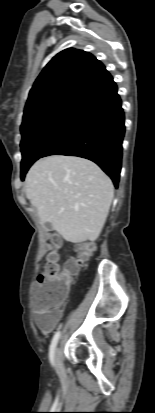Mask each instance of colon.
Here are the masks:
<instances>
[{"instance_id":"colon-1","label":"colon","mask_w":155,"mask_h":413,"mask_svg":"<svg viewBox=\"0 0 155 413\" xmlns=\"http://www.w3.org/2000/svg\"><path fill=\"white\" fill-rule=\"evenodd\" d=\"M50 242L55 247L60 245V240L56 236L52 237ZM93 250L94 244L92 242L78 245V255L70 257L62 268L58 263V253L53 251L48 254L41 280L44 290L36 299L35 309L42 312H53L57 309L58 304L71 288L72 278L78 274L80 268L86 265Z\"/></svg>"}]
</instances>
